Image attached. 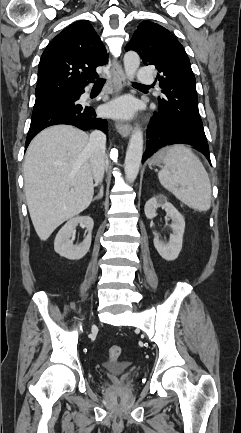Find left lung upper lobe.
<instances>
[{
  "mask_svg": "<svg viewBox=\"0 0 241 433\" xmlns=\"http://www.w3.org/2000/svg\"><path fill=\"white\" fill-rule=\"evenodd\" d=\"M126 51H136L145 65H155L163 96L158 97V111L168 119L205 138L198 110L195 76L189 58L170 31L159 24H139Z\"/></svg>",
  "mask_w": 241,
  "mask_h": 433,
  "instance_id": "1",
  "label": "left lung upper lobe"
}]
</instances>
